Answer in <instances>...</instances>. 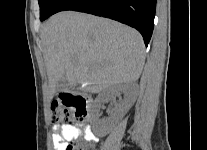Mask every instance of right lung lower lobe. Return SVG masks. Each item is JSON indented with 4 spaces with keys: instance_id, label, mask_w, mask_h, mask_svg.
Here are the masks:
<instances>
[{
    "instance_id": "98d812e1",
    "label": "right lung lower lobe",
    "mask_w": 207,
    "mask_h": 150,
    "mask_svg": "<svg viewBox=\"0 0 207 150\" xmlns=\"http://www.w3.org/2000/svg\"><path fill=\"white\" fill-rule=\"evenodd\" d=\"M156 0H64L55 13L74 10L111 18L136 28L147 46L154 27Z\"/></svg>"
}]
</instances>
